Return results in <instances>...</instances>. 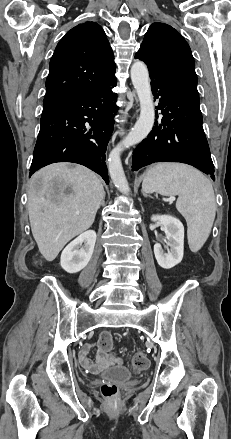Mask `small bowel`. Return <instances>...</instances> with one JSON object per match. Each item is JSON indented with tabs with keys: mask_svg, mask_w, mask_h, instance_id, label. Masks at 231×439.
Masks as SVG:
<instances>
[{
	"mask_svg": "<svg viewBox=\"0 0 231 439\" xmlns=\"http://www.w3.org/2000/svg\"><path fill=\"white\" fill-rule=\"evenodd\" d=\"M97 348L95 360L89 357L90 352ZM80 364L92 373H98L101 370L118 363L119 359L108 351H103L95 343L85 344L78 354Z\"/></svg>",
	"mask_w": 231,
	"mask_h": 439,
	"instance_id": "obj_1",
	"label": "small bowel"
}]
</instances>
